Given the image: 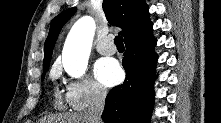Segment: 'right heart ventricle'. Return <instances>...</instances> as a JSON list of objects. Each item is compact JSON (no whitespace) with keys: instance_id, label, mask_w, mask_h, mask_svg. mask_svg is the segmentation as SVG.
<instances>
[{"instance_id":"obj_1","label":"right heart ventricle","mask_w":221,"mask_h":123,"mask_svg":"<svg viewBox=\"0 0 221 123\" xmlns=\"http://www.w3.org/2000/svg\"><path fill=\"white\" fill-rule=\"evenodd\" d=\"M55 106L58 108L62 107V100L58 91L55 92Z\"/></svg>"}]
</instances>
